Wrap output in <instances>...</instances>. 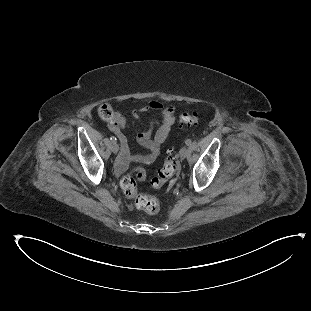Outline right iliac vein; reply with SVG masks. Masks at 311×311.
I'll return each mask as SVG.
<instances>
[{
  "label": "right iliac vein",
  "mask_w": 311,
  "mask_h": 311,
  "mask_svg": "<svg viewBox=\"0 0 311 311\" xmlns=\"http://www.w3.org/2000/svg\"><path fill=\"white\" fill-rule=\"evenodd\" d=\"M112 151L114 154H117L119 151V145L116 142H113L112 144Z\"/></svg>",
  "instance_id": "right-iliac-vein-1"
}]
</instances>
